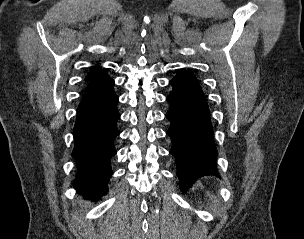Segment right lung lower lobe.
Returning <instances> with one entry per match:
<instances>
[{
    "mask_svg": "<svg viewBox=\"0 0 304 239\" xmlns=\"http://www.w3.org/2000/svg\"><path fill=\"white\" fill-rule=\"evenodd\" d=\"M114 81L101 73L88 84L79 104L74 126L73 156L77 161L75 188L85 199H98L107 192L112 175L110 159L116 154L114 139L119 135L118 96Z\"/></svg>",
    "mask_w": 304,
    "mask_h": 239,
    "instance_id": "obj_1",
    "label": "right lung lower lobe"
}]
</instances>
